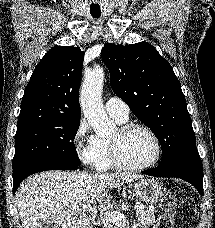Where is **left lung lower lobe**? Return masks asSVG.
<instances>
[{
  "instance_id": "0a47b994",
  "label": "left lung lower lobe",
  "mask_w": 215,
  "mask_h": 228,
  "mask_svg": "<svg viewBox=\"0 0 215 228\" xmlns=\"http://www.w3.org/2000/svg\"><path fill=\"white\" fill-rule=\"evenodd\" d=\"M155 177H176L191 183L203 195L202 162L196 146L187 148L154 169L142 171Z\"/></svg>"
}]
</instances>
